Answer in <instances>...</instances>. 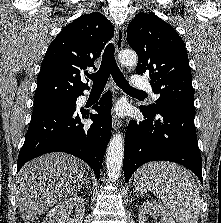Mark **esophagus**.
Wrapping results in <instances>:
<instances>
[{
    "label": "esophagus",
    "instance_id": "obj_1",
    "mask_svg": "<svg viewBox=\"0 0 221 223\" xmlns=\"http://www.w3.org/2000/svg\"><path fill=\"white\" fill-rule=\"evenodd\" d=\"M115 31H116L115 49L117 52H119L122 49L124 43V26L121 24L116 25ZM112 126L114 130H118L122 126L121 119L116 115H113Z\"/></svg>",
    "mask_w": 221,
    "mask_h": 223
}]
</instances>
